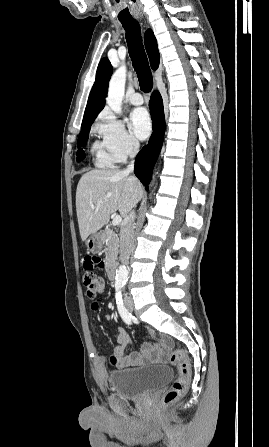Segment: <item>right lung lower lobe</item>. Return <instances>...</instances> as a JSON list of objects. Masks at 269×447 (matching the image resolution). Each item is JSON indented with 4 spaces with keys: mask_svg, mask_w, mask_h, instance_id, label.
I'll list each match as a JSON object with an SVG mask.
<instances>
[{
    "mask_svg": "<svg viewBox=\"0 0 269 447\" xmlns=\"http://www.w3.org/2000/svg\"><path fill=\"white\" fill-rule=\"evenodd\" d=\"M150 114L153 120V133L148 145L144 146L135 160V175L148 190V183L152 176V169L160 153L164 131V111L161 95L154 91L150 99Z\"/></svg>",
    "mask_w": 269,
    "mask_h": 447,
    "instance_id": "right-lung-lower-lobe-1",
    "label": "right lung lower lobe"
}]
</instances>
